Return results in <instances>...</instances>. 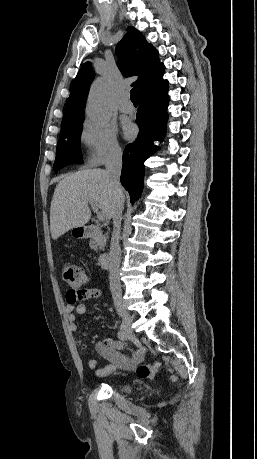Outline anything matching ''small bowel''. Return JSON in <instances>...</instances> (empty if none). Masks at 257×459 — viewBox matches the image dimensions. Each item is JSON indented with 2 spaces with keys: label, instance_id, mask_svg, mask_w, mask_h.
Listing matches in <instances>:
<instances>
[{
  "label": "small bowel",
  "instance_id": "1",
  "mask_svg": "<svg viewBox=\"0 0 257 459\" xmlns=\"http://www.w3.org/2000/svg\"><path fill=\"white\" fill-rule=\"evenodd\" d=\"M88 293V297L86 299H96L101 296V291L96 288L86 289ZM79 291L74 288H70L66 293V314L69 323V329L72 332H76L78 330L77 324V315H84L87 312V306L81 300H77V295ZM84 300V299H83ZM81 345V342L79 341ZM124 348V343L120 340H116L111 337H107L102 341H98L95 344V350L104 358L106 359L109 364L106 365L104 368H99L97 360L94 358L88 359V367L99 377H104L112 372H114L117 368H124L130 369L137 363L141 362L143 359V352L136 351L133 353L132 357H127L122 354V350Z\"/></svg>",
  "mask_w": 257,
  "mask_h": 459
}]
</instances>
